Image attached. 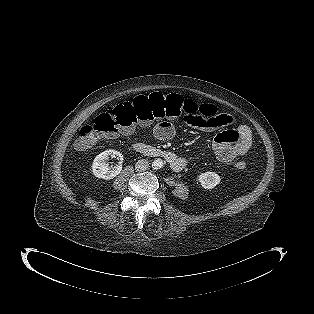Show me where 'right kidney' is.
<instances>
[{
    "label": "right kidney",
    "mask_w": 314,
    "mask_h": 314,
    "mask_svg": "<svg viewBox=\"0 0 314 314\" xmlns=\"http://www.w3.org/2000/svg\"><path fill=\"white\" fill-rule=\"evenodd\" d=\"M111 157H117L120 159L118 165L112 167L106 164V160ZM123 155L116 150H106L97 155L92 164V172L97 178L110 180L116 177L122 171Z\"/></svg>",
    "instance_id": "right-kidney-1"
}]
</instances>
